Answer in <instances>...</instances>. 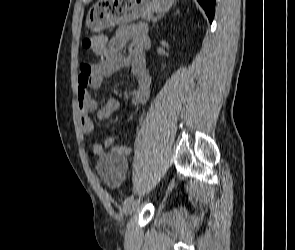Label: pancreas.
Here are the masks:
<instances>
[{"label": "pancreas", "instance_id": "pancreas-1", "mask_svg": "<svg viewBox=\"0 0 295 250\" xmlns=\"http://www.w3.org/2000/svg\"><path fill=\"white\" fill-rule=\"evenodd\" d=\"M145 21L154 20L155 18L152 15L142 16Z\"/></svg>", "mask_w": 295, "mask_h": 250}]
</instances>
